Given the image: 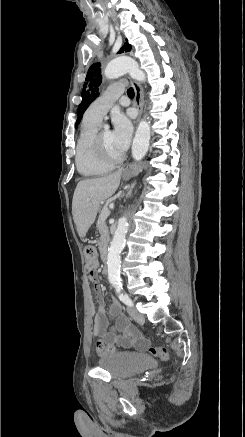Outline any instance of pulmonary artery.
<instances>
[{"label": "pulmonary artery", "mask_w": 245, "mask_h": 437, "mask_svg": "<svg viewBox=\"0 0 245 437\" xmlns=\"http://www.w3.org/2000/svg\"><path fill=\"white\" fill-rule=\"evenodd\" d=\"M123 91L124 85L122 83L111 84L100 97L91 103L85 112V117L100 123Z\"/></svg>", "instance_id": "pulmonary-artery-1"}]
</instances>
